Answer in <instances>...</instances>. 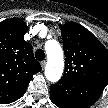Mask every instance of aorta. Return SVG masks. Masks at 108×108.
<instances>
[{"mask_svg": "<svg viewBox=\"0 0 108 108\" xmlns=\"http://www.w3.org/2000/svg\"><path fill=\"white\" fill-rule=\"evenodd\" d=\"M45 51L48 58L45 77L50 82H57L62 77L64 70L63 50L56 40H49L45 43Z\"/></svg>", "mask_w": 108, "mask_h": 108, "instance_id": "aorta-1", "label": "aorta"}]
</instances>
